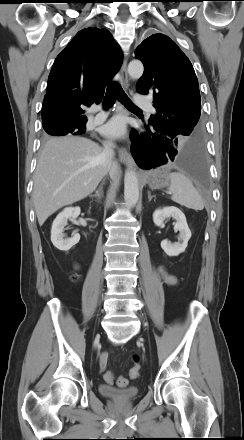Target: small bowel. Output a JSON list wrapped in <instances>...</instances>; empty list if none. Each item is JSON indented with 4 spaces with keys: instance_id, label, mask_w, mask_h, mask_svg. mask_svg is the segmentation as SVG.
I'll use <instances>...</instances> for the list:
<instances>
[{
    "instance_id": "1",
    "label": "small bowel",
    "mask_w": 244,
    "mask_h": 440,
    "mask_svg": "<svg viewBox=\"0 0 244 440\" xmlns=\"http://www.w3.org/2000/svg\"><path fill=\"white\" fill-rule=\"evenodd\" d=\"M159 271H160L161 277L165 283H167L169 285H174L177 282V279L175 278V276L169 274L164 268L161 267L159 269ZM107 359H108L107 353L103 352L99 358V366L102 371H104L106 369Z\"/></svg>"
}]
</instances>
